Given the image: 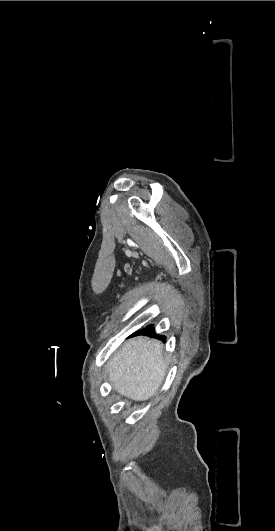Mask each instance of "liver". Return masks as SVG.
I'll use <instances>...</instances> for the list:
<instances>
[{
  "mask_svg": "<svg viewBox=\"0 0 275 531\" xmlns=\"http://www.w3.org/2000/svg\"><path fill=\"white\" fill-rule=\"evenodd\" d=\"M163 345L155 339H130L107 363L113 391L132 401H148L158 393L166 373Z\"/></svg>",
  "mask_w": 275,
  "mask_h": 531,
  "instance_id": "6515ba94",
  "label": "liver"
}]
</instances>
